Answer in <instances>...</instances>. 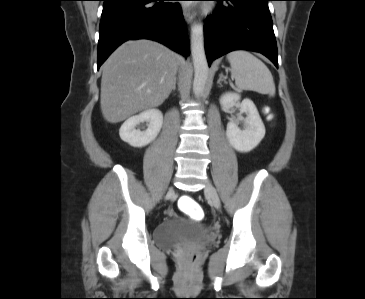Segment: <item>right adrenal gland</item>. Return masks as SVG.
<instances>
[{"instance_id":"1","label":"right adrenal gland","mask_w":365,"mask_h":299,"mask_svg":"<svg viewBox=\"0 0 365 299\" xmlns=\"http://www.w3.org/2000/svg\"><path fill=\"white\" fill-rule=\"evenodd\" d=\"M176 83H177V81H176V78H175V81H174V84H173V87H172V91L176 90Z\"/></svg>"}]
</instances>
